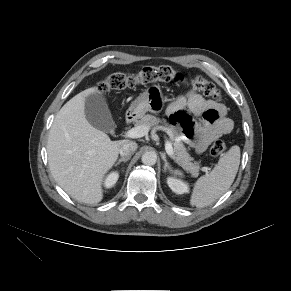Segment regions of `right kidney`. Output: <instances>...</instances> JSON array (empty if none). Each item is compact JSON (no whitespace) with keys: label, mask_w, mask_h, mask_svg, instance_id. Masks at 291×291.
Returning <instances> with one entry per match:
<instances>
[{"label":"right kidney","mask_w":291,"mask_h":291,"mask_svg":"<svg viewBox=\"0 0 291 291\" xmlns=\"http://www.w3.org/2000/svg\"><path fill=\"white\" fill-rule=\"evenodd\" d=\"M118 177H119V174L117 172L110 173L107 176L105 183H104L106 188H111L112 186H114L118 180Z\"/></svg>","instance_id":"1"}]
</instances>
